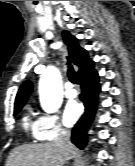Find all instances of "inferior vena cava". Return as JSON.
Returning a JSON list of instances; mask_svg holds the SVG:
<instances>
[{
    "instance_id": "inferior-vena-cava-1",
    "label": "inferior vena cava",
    "mask_w": 135,
    "mask_h": 166,
    "mask_svg": "<svg viewBox=\"0 0 135 166\" xmlns=\"http://www.w3.org/2000/svg\"><path fill=\"white\" fill-rule=\"evenodd\" d=\"M57 140L61 146V149L66 151L70 144V134L68 132H62Z\"/></svg>"
}]
</instances>
